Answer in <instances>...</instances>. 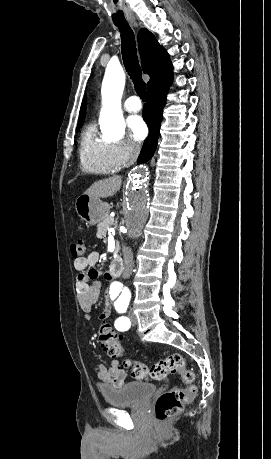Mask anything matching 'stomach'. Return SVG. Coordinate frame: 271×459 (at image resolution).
<instances>
[{"mask_svg":"<svg viewBox=\"0 0 271 459\" xmlns=\"http://www.w3.org/2000/svg\"><path fill=\"white\" fill-rule=\"evenodd\" d=\"M75 210L88 226H95L106 220L109 216V206L104 204L98 198H90V196H79L75 202Z\"/></svg>","mask_w":271,"mask_h":459,"instance_id":"stomach-1","label":"stomach"}]
</instances>
